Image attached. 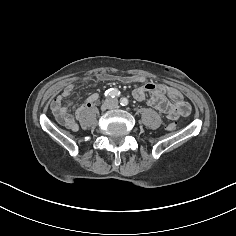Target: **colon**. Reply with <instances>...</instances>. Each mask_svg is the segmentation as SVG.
<instances>
[{"label":"colon","mask_w":236,"mask_h":236,"mask_svg":"<svg viewBox=\"0 0 236 236\" xmlns=\"http://www.w3.org/2000/svg\"><path fill=\"white\" fill-rule=\"evenodd\" d=\"M169 128H170V129H174V128H175V125H174V124H170V125H169Z\"/></svg>","instance_id":"colon-1"}]
</instances>
